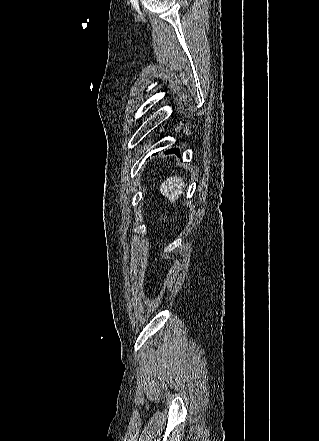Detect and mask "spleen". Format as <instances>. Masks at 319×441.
<instances>
[{"label": "spleen", "instance_id": "spleen-1", "mask_svg": "<svg viewBox=\"0 0 319 441\" xmlns=\"http://www.w3.org/2000/svg\"><path fill=\"white\" fill-rule=\"evenodd\" d=\"M185 181L182 177L171 176L162 182L160 192L173 203L183 194Z\"/></svg>", "mask_w": 319, "mask_h": 441}]
</instances>
